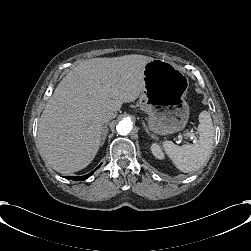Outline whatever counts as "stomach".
Segmentation results:
<instances>
[{
  "label": "stomach",
  "instance_id": "0dacf381",
  "mask_svg": "<svg viewBox=\"0 0 251 251\" xmlns=\"http://www.w3.org/2000/svg\"><path fill=\"white\" fill-rule=\"evenodd\" d=\"M144 81L139 105L148 114V129L159 135L182 130L189 119L188 78L172 63L154 59L144 67Z\"/></svg>",
  "mask_w": 251,
  "mask_h": 251
}]
</instances>
